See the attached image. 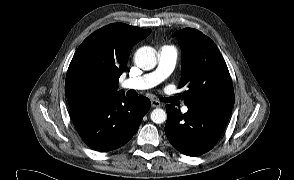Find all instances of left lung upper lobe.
<instances>
[{
  "mask_svg": "<svg viewBox=\"0 0 294 180\" xmlns=\"http://www.w3.org/2000/svg\"><path fill=\"white\" fill-rule=\"evenodd\" d=\"M182 49L179 88L186 104L232 107L234 90L227 65L215 43L202 32L184 28L174 33Z\"/></svg>",
  "mask_w": 294,
  "mask_h": 180,
  "instance_id": "obj_1",
  "label": "left lung upper lobe"
}]
</instances>
